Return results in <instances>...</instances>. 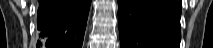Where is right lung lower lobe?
<instances>
[{
	"instance_id": "obj_1",
	"label": "right lung lower lobe",
	"mask_w": 213,
	"mask_h": 48,
	"mask_svg": "<svg viewBox=\"0 0 213 48\" xmlns=\"http://www.w3.org/2000/svg\"><path fill=\"white\" fill-rule=\"evenodd\" d=\"M91 0H40L38 45L81 48Z\"/></svg>"
}]
</instances>
